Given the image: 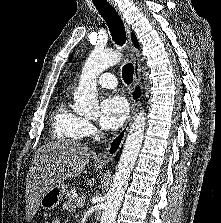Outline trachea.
Masks as SVG:
<instances>
[{"label":"trachea","mask_w":221,"mask_h":223,"mask_svg":"<svg viewBox=\"0 0 221 223\" xmlns=\"http://www.w3.org/2000/svg\"><path fill=\"white\" fill-rule=\"evenodd\" d=\"M93 3L106 21L111 36L115 44L122 46L126 42V32L124 24L115 9L106 0H93ZM134 67L131 63L123 66L122 77L126 84L133 80Z\"/></svg>","instance_id":"trachea-1"}]
</instances>
